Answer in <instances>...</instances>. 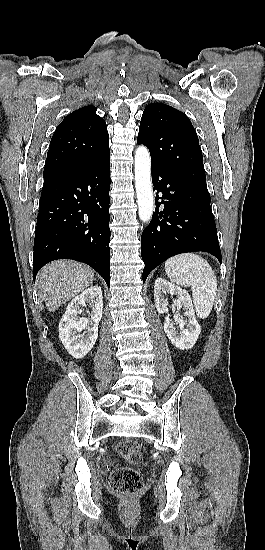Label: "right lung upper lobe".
<instances>
[{
    "mask_svg": "<svg viewBox=\"0 0 265 550\" xmlns=\"http://www.w3.org/2000/svg\"><path fill=\"white\" fill-rule=\"evenodd\" d=\"M109 136L96 107H82L64 118L55 130L47 153L43 177L91 165L109 157Z\"/></svg>",
    "mask_w": 265,
    "mask_h": 550,
    "instance_id": "obj_1",
    "label": "right lung upper lobe"
}]
</instances>
